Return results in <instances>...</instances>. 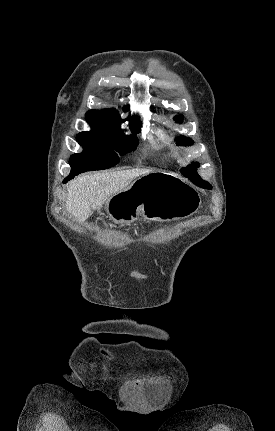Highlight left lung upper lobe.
Returning a JSON list of instances; mask_svg holds the SVG:
<instances>
[{
    "instance_id": "5c2ea615",
    "label": "left lung upper lobe",
    "mask_w": 275,
    "mask_h": 431,
    "mask_svg": "<svg viewBox=\"0 0 275 431\" xmlns=\"http://www.w3.org/2000/svg\"><path fill=\"white\" fill-rule=\"evenodd\" d=\"M174 120L176 122L181 123L183 120V116L182 115L176 116V117H174ZM176 143H177V145L186 146V145H192L193 141L190 138H186L185 136H179L176 140ZM197 167H199V163L195 162V163H192L191 165H189L188 167L183 168L181 172L186 177L196 178V177H199V175L197 174V171H196Z\"/></svg>"
}]
</instances>
